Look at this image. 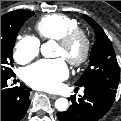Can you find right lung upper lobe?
<instances>
[{"label": "right lung upper lobe", "mask_w": 121, "mask_h": 121, "mask_svg": "<svg viewBox=\"0 0 121 121\" xmlns=\"http://www.w3.org/2000/svg\"><path fill=\"white\" fill-rule=\"evenodd\" d=\"M22 10H15V11H12V12H9L3 16H1V21H4V20H7L17 14H19Z\"/></svg>", "instance_id": "cb5924a9"}]
</instances>
